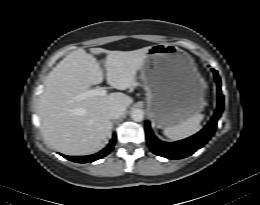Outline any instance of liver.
I'll return each instance as SVG.
<instances>
[{
    "mask_svg": "<svg viewBox=\"0 0 260 205\" xmlns=\"http://www.w3.org/2000/svg\"><path fill=\"white\" fill-rule=\"evenodd\" d=\"M148 49L109 51L92 48L90 53L78 49L61 60L46 78L39 98L38 114L46 142L67 155L96 152L113 127L108 116L109 109L116 105L127 108L133 99L121 92L80 101L74 99L103 81V71L94 55H107V83L118 90H126L132 87Z\"/></svg>",
    "mask_w": 260,
    "mask_h": 205,
    "instance_id": "liver-1",
    "label": "liver"
}]
</instances>
